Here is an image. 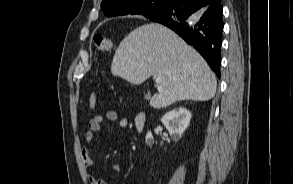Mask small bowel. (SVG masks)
Returning a JSON list of instances; mask_svg holds the SVG:
<instances>
[{
  "instance_id": "obj_1",
  "label": "small bowel",
  "mask_w": 293,
  "mask_h": 184,
  "mask_svg": "<svg viewBox=\"0 0 293 184\" xmlns=\"http://www.w3.org/2000/svg\"><path fill=\"white\" fill-rule=\"evenodd\" d=\"M105 123H114L116 126L123 128L127 126L128 121L125 117L119 116L118 113L115 111H108L105 113V115H96L92 117L88 122V130L84 134V141L86 143H91L94 139L95 134L102 130ZM81 152L85 167H91L92 161L90 158L89 148L87 146H84ZM112 170L120 173L122 171V167L119 164H114L112 166ZM87 180L89 184H107L104 180L98 179L92 175H88Z\"/></svg>"
}]
</instances>
